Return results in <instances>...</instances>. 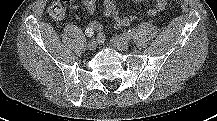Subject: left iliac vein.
Instances as JSON below:
<instances>
[{"label":"left iliac vein","instance_id":"1","mask_svg":"<svg viewBox=\"0 0 217 121\" xmlns=\"http://www.w3.org/2000/svg\"><path fill=\"white\" fill-rule=\"evenodd\" d=\"M111 43L114 47L121 51H127L129 49V42L128 40L122 38V37H112Z\"/></svg>","mask_w":217,"mask_h":121}]
</instances>
